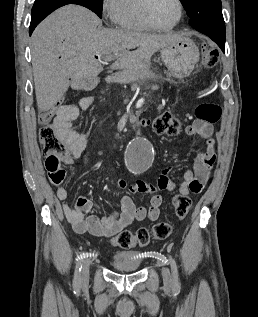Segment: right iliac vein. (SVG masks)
<instances>
[{"label":"right iliac vein","instance_id":"1","mask_svg":"<svg viewBox=\"0 0 258 317\" xmlns=\"http://www.w3.org/2000/svg\"><path fill=\"white\" fill-rule=\"evenodd\" d=\"M90 264H91V259L90 258H85L84 262H83V264L81 266L82 267V270H81L82 273L81 274H82L83 277H88L89 276V274H90L89 273Z\"/></svg>","mask_w":258,"mask_h":317}]
</instances>
